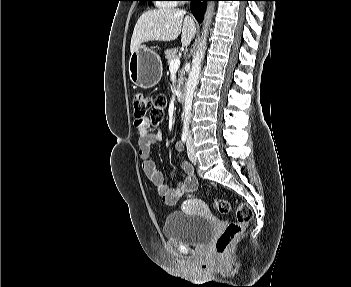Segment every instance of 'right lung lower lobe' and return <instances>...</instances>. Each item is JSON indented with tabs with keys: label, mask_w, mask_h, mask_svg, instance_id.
<instances>
[{
	"label": "right lung lower lobe",
	"mask_w": 351,
	"mask_h": 287,
	"mask_svg": "<svg viewBox=\"0 0 351 287\" xmlns=\"http://www.w3.org/2000/svg\"><path fill=\"white\" fill-rule=\"evenodd\" d=\"M190 1H192L191 11H192L194 17L197 19V21L201 22L203 19L204 12H205L204 3L206 1H210V0H190ZM201 1H203V3Z\"/></svg>",
	"instance_id": "1"
}]
</instances>
